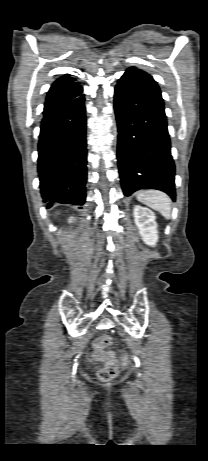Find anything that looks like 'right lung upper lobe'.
Wrapping results in <instances>:
<instances>
[{
    "mask_svg": "<svg viewBox=\"0 0 208 461\" xmlns=\"http://www.w3.org/2000/svg\"><path fill=\"white\" fill-rule=\"evenodd\" d=\"M75 81L76 80L72 78L70 74H65L57 78L47 93L44 108L79 96L83 88Z\"/></svg>",
    "mask_w": 208,
    "mask_h": 461,
    "instance_id": "right-lung-upper-lobe-1",
    "label": "right lung upper lobe"
}]
</instances>
